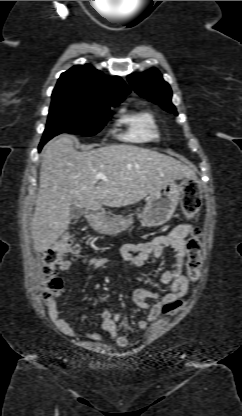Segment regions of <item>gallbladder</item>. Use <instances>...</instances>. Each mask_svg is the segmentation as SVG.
Segmentation results:
<instances>
[{"label": "gallbladder", "mask_w": 242, "mask_h": 416, "mask_svg": "<svg viewBox=\"0 0 242 416\" xmlns=\"http://www.w3.org/2000/svg\"><path fill=\"white\" fill-rule=\"evenodd\" d=\"M69 211L72 219H79L84 214L83 208L75 205H71Z\"/></svg>", "instance_id": "bac80fb5"}]
</instances>
